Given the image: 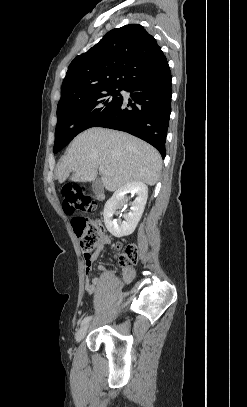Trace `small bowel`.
Returning a JSON list of instances; mask_svg holds the SVG:
<instances>
[{
    "mask_svg": "<svg viewBox=\"0 0 247 407\" xmlns=\"http://www.w3.org/2000/svg\"><path fill=\"white\" fill-rule=\"evenodd\" d=\"M109 243V238L108 237H103L99 244L97 245L95 251L85 257V261H84V270L86 274H89L90 271L92 270V266L94 264V262L98 259L99 254L101 252V250L103 249V247ZM98 269L103 271V272H108L107 269L103 266V265H99ZM135 277V270L131 267H127L123 270V282L125 284L130 283L133 278ZM101 278L100 277H93L90 281L86 280L85 282V290L88 294H94L98 287L101 285Z\"/></svg>",
    "mask_w": 247,
    "mask_h": 407,
    "instance_id": "obj_1",
    "label": "small bowel"
}]
</instances>
